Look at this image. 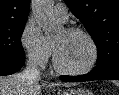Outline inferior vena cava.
I'll return each instance as SVG.
<instances>
[{"label": "inferior vena cava", "mask_w": 119, "mask_h": 95, "mask_svg": "<svg viewBox=\"0 0 119 95\" xmlns=\"http://www.w3.org/2000/svg\"><path fill=\"white\" fill-rule=\"evenodd\" d=\"M22 77L28 81H36L40 79V71L38 61L35 58H29L25 69L22 71Z\"/></svg>", "instance_id": "inferior-vena-cava-1"}]
</instances>
